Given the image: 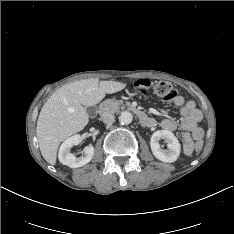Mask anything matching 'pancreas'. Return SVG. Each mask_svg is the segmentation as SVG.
<instances>
[{
    "instance_id": "pancreas-1",
    "label": "pancreas",
    "mask_w": 234,
    "mask_h": 234,
    "mask_svg": "<svg viewBox=\"0 0 234 234\" xmlns=\"http://www.w3.org/2000/svg\"><path fill=\"white\" fill-rule=\"evenodd\" d=\"M120 105H122V102H118L112 99H107L102 103V107L105 110H109L112 112H116L119 109ZM126 105H129V103H126Z\"/></svg>"
}]
</instances>
